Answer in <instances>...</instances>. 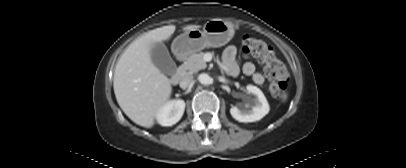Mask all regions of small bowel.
<instances>
[{"label": "small bowel", "instance_id": "1", "mask_svg": "<svg viewBox=\"0 0 406 168\" xmlns=\"http://www.w3.org/2000/svg\"><path fill=\"white\" fill-rule=\"evenodd\" d=\"M237 49L235 46L230 45L226 47L223 52L222 58L226 64V72L231 76H236L239 72V67L236 63ZM243 73L251 76L255 84L261 85L264 82V76L256 71L255 65L251 62H245L242 67Z\"/></svg>", "mask_w": 406, "mask_h": 168}]
</instances>
